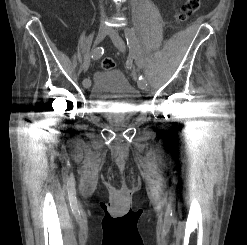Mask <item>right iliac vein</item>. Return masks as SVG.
<instances>
[{"label": "right iliac vein", "mask_w": 247, "mask_h": 245, "mask_svg": "<svg viewBox=\"0 0 247 245\" xmlns=\"http://www.w3.org/2000/svg\"><path fill=\"white\" fill-rule=\"evenodd\" d=\"M108 33H109V30L106 27H100L98 34H97V37H96V40H95V45L100 44L105 39V37L107 36ZM92 61L96 62L97 58L93 57ZM90 85H91L90 79L86 78L83 80L84 88H89Z\"/></svg>", "instance_id": "63e3f726"}]
</instances>
